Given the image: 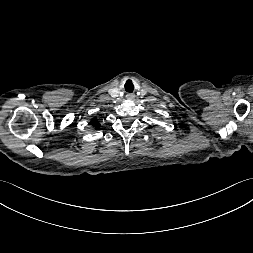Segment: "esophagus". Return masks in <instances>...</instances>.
<instances>
[{
  "label": "esophagus",
  "mask_w": 253,
  "mask_h": 253,
  "mask_svg": "<svg viewBox=\"0 0 253 253\" xmlns=\"http://www.w3.org/2000/svg\"><path fill=\"white\" fill-rule=\"evenodd\" d=\"M126 98H127L128 100H133V99L135 98V95L132 94V93H128V94L126 95Z\"/></svg>",
  "instance_id": "esophagus-1"
}]
</instances>
